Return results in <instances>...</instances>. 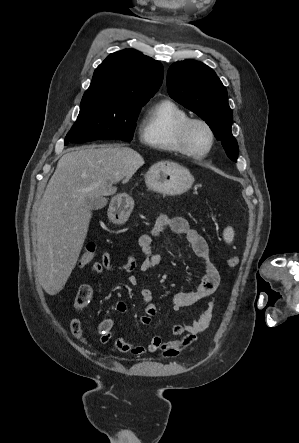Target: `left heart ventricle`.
Returning <instances> with one entry per match:
<instances>
[{
	"label": "left heart ventricle",
	"mask_w": 299,
	"mask_h": 443,
	"mask_svg": "<svg viewBox=\"0 0 299 443\" xmlns=\"http://www.w3.org/2000/svg\"><path fill=\"white\" fill-rule=\"evenodd\" d=\"M209 144L210 136L207 129L200 124L193 125L189 133L191 149L196 152H203L208 148Z\"/></svg>",
	"instance_id": "1"
}]
</instances>
